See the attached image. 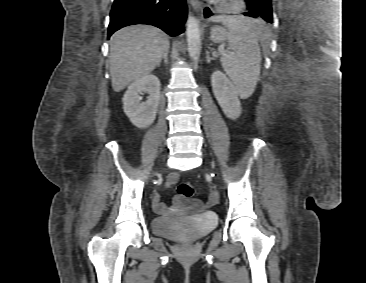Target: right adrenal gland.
<instances>
[{"label": "right adrenal gland", "instance_id": "right-adrenal-gland-1", "mask_svg": "<svg viewBox=\"0 0 366 283\" xmlns=\"http://www.w3.org/2000/svg\"><path fill=\"white\" fill-rule=\"evenodd\" d=\"M169 52V51H168ZM168 52L167 53H165L164 55H163V61H164V63L165 64H167L168 63ZM162 62V60L157 64V66L159 67L160 66V63Z\"/></svg>", "mask_w": 366, "mask_h": 283}]
</instances>
